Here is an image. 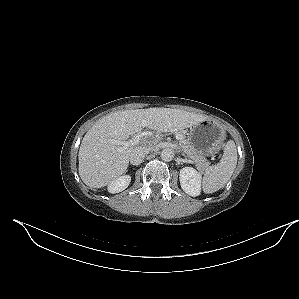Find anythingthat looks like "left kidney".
I'll return each instance as SVG.
<instances>
[{
	"instance_id": "5707ae66",
	"label": "left kidney",
	"mask_w": 299,
	"mask_h": 299,
	"mask_svg": "<svg viewBox=\"0 0 299 299\" xmlns=\"http://www.w3.org/2000/svg\"><path fill=\"white\" fill-rule=\"evenodd\" d=\"M181 188L185 193L192 197L200 195L201 192V174L192 167H184L179 175Z\"/></svg>"
}]
</instances>
